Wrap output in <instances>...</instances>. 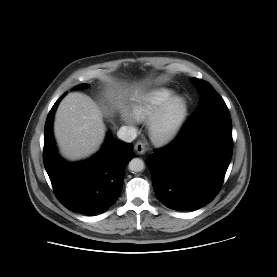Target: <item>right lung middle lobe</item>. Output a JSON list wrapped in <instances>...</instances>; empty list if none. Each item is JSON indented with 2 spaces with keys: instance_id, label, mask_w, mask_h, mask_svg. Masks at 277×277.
Returning <instances> with one entry per match:
<instances>
[{
  "instance_id": "right-lung-middle-lobe-1",
  "label": "right lung middle lobe",
  "mask_w": 277,
  "mask_h": 277,
  "mask_svg": "<svg viewBox=\"0 0 277 277\" xmlns=\"http://www.w3.org/2000/svg\"><path fill=\"white\" fill-rule=\"evenodd\" d=\"M86 86H87V84H82V85H79L77 87H86ZM64 94H66V93H64Z\"/></svg>"
}]
</instances>
